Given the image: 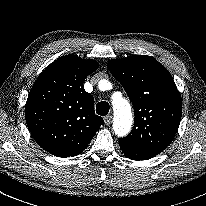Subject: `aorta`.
Returning a JSON list of instances; mask_svg holds the SVG:
<instances>
[{"label":"aorta","instance_id":"obj_1","mask_svg":"<svg viewBox=\"0 0 206 206\" xmlns=\"http://www.w3.org/2000/svg\"><path fill=\"white\" fill-rule=\"evenodd\" d=\"M114 110L113 129L118 137H123L129 133L133 124V117L129 102L120 97L112 101Z\"/></svg>","mask_w":206,"mask_h":206}]
</instances>
